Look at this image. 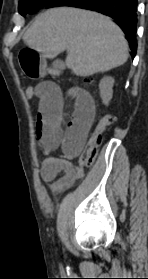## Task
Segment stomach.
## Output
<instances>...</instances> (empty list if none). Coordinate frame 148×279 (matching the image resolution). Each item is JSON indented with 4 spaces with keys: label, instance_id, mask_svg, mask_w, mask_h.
<instances>
[{
    "label": "stomach",
    "instance_id": "0dacf381",
    "mask_svg": "<svg viewBox=\"0 0 148 279\" xmlns=\"http://www.w3.org/2000/svg\"><path fill=\"white\" fill-rule=\"evenodd\" d=\"M17 63L29 82H46L53 75L48 58L42 50H18Z\"/></svg>",
    "mask_w": 148,
    "mask_h": 279
}]
</instances>
